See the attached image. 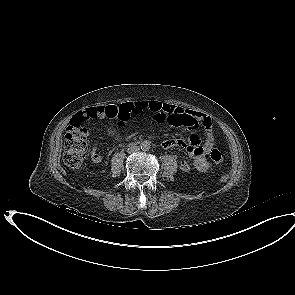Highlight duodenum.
Returning <instances> with one entry per match:
<instances>
[{
  "instance_id": "1",
  "label": "duodenum",
  "mask_w": 295,
  "mask_h": 295,
  "mask_svg": "<svg viewBox=\"0 0 295 295\" xmlns=\"http://www.w3.org/2000/svg\"><path fill=\"white\" fill-rule=\"evenodd\" d=\"M132 145H137V143L135 142V143H132Z\"/></svg>"
}]
</instances>
